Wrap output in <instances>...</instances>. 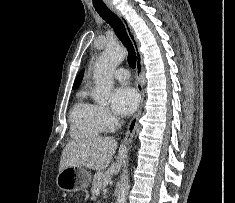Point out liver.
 I'll use <instances>...</instances> for the list:
<instances>
[{
  "label": "liver",
  "mask_w": 235,
  "mask_h": 203,
  "mask_svg": "<svg viewBox=\"0 0 235 203\" xmlns=\"http://www.w3.org/2000/svg\"><path fill=\"white\" fill-rule=\"evenodd\" d=\"M117 148V141L111 137H91L69 142L63 149L59 172L67 167H86L104 170L111 163ZM127 160V148L121 145L116 162L108 168V174L117 175Z\"/></svg>",
  "instance_id": "liver-1"
}]
</instances>
